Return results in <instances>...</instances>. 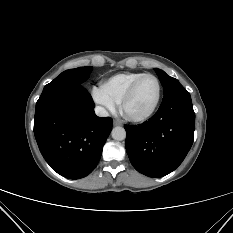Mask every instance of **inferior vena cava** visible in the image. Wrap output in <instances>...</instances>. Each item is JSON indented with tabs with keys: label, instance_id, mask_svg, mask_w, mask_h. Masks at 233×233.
Listing matches in <instances>:
<instances>
[{
	"label": "inferior vena cava",
	"instance_id": "602c4592",
	"mask_svg": "<svg viewBox=\"0 0 233 233\" xmlns=\"http://www.w3.org/2000/svg\"><path fill=\"white\" fill-rule=\"evenodd\" d=\"M95 113L97 116H100V117H107L109 115L107 110L101 106L95 107Z\"/></svg>",
	"mask_w": 233,
	"mask_h": 233
}]
</instances>
